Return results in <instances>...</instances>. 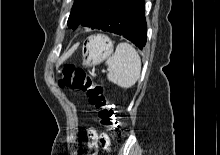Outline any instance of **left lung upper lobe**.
Here are the masks:
<instances>
[{
	"label": "left lung upper lobe",
	"instance_id": "1",
	"mask_svg": "<svg viewBox=\"0 0 220 155\" xmlns=\"http://www.w3.org/2000/svg\"><path fill=\"white\" fill-rule=\"evenodd\" d=\"M96 1L97 0H75L68 19V27L75 30L85 13Z\"/></svg>",
	"mask_w": 220,
	"mask_h": 155
}]
</instances>
